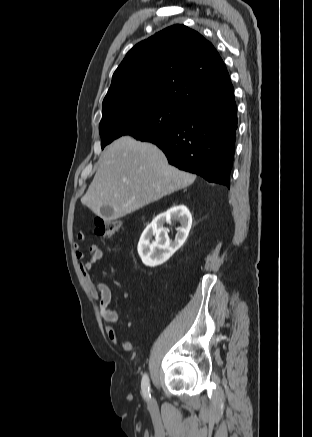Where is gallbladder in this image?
Listing matches in <instances>:
<instances>
[{"mask_svg": "<svg viewBox=\"0 0 312 437\" xmlns=\"http://www.w3.org/2000/svg\"><path fill=\"white\" fill-rule=\"evenodd\" d=\"M113 208L110 206H102L100 213L103 219H110L113 215Z\"/></svg>", "mask_w": 312, "mask_h": 437, "instance_id": "1", "label": "gallbladder"}]
</instances>
